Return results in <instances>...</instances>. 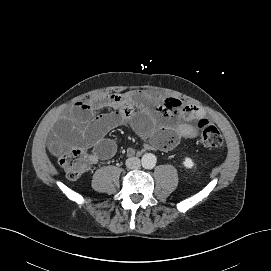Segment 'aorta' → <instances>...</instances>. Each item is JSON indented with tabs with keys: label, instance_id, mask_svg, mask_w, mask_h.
<instances>
[{
	"label": "aorta",
	"instance_id": "obj_1",
	"mask_svg": "<svg viewBox=\"0 0 271 271\" xmlns=\"http://www.w3.org/2000/svg\"><path fill=\"white\" fill-rule=\"evenodd\" d=\"M142 165L144 168L151 169L156 165V156L152 153H146L142 156Z\"/></svg>",
	"mask_w": 271,
	"mask_h": 271
}]
</instances>
